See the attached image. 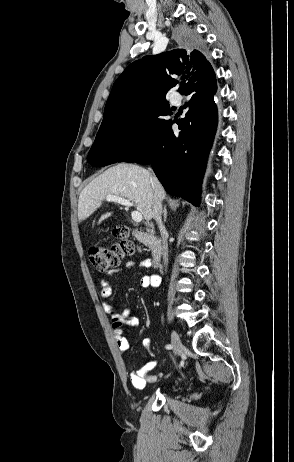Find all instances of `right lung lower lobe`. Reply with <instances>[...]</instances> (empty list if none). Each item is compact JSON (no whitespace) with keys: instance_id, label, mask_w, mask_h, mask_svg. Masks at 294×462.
Segmentation results:
<instances>
[{"instance_id":"98d812e1","label":"right lung lower lobe","mask_w":294,"mask_h":462,"mask_svg":"<svg viewBox=\"0 0 294 462\" xmlns=\"http://www.w3.org/2000/svg\"><path fill=\"white\" fill-rule=\"evenodd\" d=\"M216 91L215 74L188 88L182 93L191 99L185 104L189 108L186 117L177 121L180 132H173L172 120L165 121L123 161L151 164L167 192L198 205L206 160L217 128Z\"/></svg>"}]
</instances>
